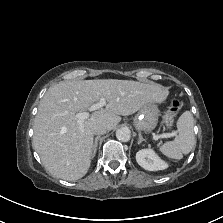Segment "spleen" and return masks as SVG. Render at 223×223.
<instances>
[{
    "instance_id": "3e777b00",
    "label": "spleen",
    "mask_w": 223,
    "mask_h": 223,
    "mask_svg": "<svg viewBox=\"0 0 223 223\" xmlns=\"http://www.w3.org/2000/svg\"><path fill=\"white\" fill-rule=\"evenodd\" d=\"M178 135L173 141H168L160 147V151L171 159L180 160L183 154H188L196 145L194 135V118L190 111H185L177 120Z\"/></svg>"
}]
</instances>
